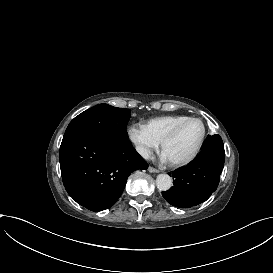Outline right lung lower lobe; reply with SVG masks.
Returning a JSON list of instances; mask_svg holds the SVG:
<instances>
[{
	"label": "right lung lower lobe",
	"mask_w": 273,
	"mask_h": 273,
	"mask_svg": "<svg viewBox=\"0 0 273 273\" xmlns=\"http://www.w3.org/2000/svg\"><path fill=\"white\" fill-rule=\"evenodd\" d=\"M61 175L68 194L91 211L110 208L121 196L128 176L148 164L130 141L73 135L62 140Z\"/></svg>",
	"instance_id": "right-lung-lower-lobe-1"
}]
</instances>
